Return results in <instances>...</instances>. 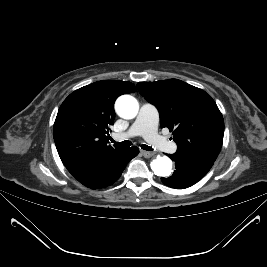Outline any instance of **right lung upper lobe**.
I'll return each instance as SVG.
<instances>
[{"mask_svg": "<svg viewBox=\"0 0 267 267\" xmlns=\"http://www.w3.org/2000/svg\"><path fill=\"white\" fill-rule=\"evenodd\" d=\"M126 81H98L71 93L59 108L53 136L58 154L74 178L85 174L98 160L121 148L108 143L115 118L114 102L135 92Z\"/></svg>", "mask_w": 267, "mask_h": 267, "instance_id": "cb5924a9", "label": "right lung upper lobe"}]
</instances>
